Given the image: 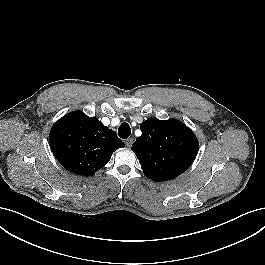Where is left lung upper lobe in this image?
Here are the masks:
<instances>
[{"instance_id":"obj_1","label":"left lung upper lobe","mask_w":265,"mask_h":265,"mask_svg":"<svg viewBox=\"0 0 265 265\" xmlns=\"http://www.w3.org/2000/svg\"><path fill=\"white\" fill-rule=\"evenodd\" d=\"M132 145L144 174L153 181L171 180L193 163L199 143L190 128L176 119L149 118Z\"/></svg>"}]
</instances>
